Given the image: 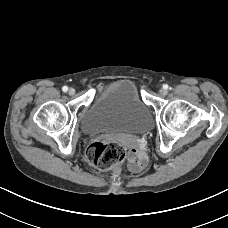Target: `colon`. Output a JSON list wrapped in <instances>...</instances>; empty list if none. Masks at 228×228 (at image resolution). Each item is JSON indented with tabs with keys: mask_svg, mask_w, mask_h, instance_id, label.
Instances as JSON below:
<instances>
[{
	"mask_svg": "<svg viewBox=\"0 0 228 228\" xmlns=\"http://www.w3.org/2000/svg\"><path fill=\"white\" fill-rule=\"evenodd\" d=\"M126 155L125 148L116 141H99L87 150V162L100 170H108L121 163Z\"/></svg>",
	"mask_w": 228,
	"mask_h": 228,
	"instance_id": "obj_1",
	"label": "colon"
}]
</instances>
